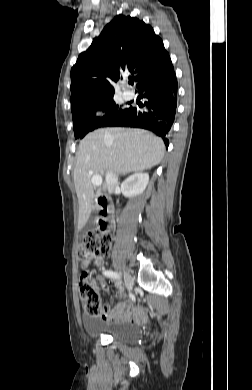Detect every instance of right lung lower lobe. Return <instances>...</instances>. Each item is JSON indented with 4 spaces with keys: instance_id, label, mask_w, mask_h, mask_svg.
Returning a JSON list of instances; mask_svg holds the SVG:
<instances>
[{
    "instance_id": "obj_1",
    "label": "right lung lower lobe",
    "mask_w": 252,
    "mask_h": 390,
    "mask_svg": "<svg viewBox=\"0 0 252 390\" xmlns=\"http://www.w3.org/2000/svg\"><path fill=\"white\" fill-rule=\"evenodd\" d=\"M177 89L174 69L164 75L147 79L138 87L141 98L145 99V111L141 112L131 106L107 126L136 127L153 131L163 138L168 147L167 134L176 114Z\"/></svg>"
}]
</instances>
